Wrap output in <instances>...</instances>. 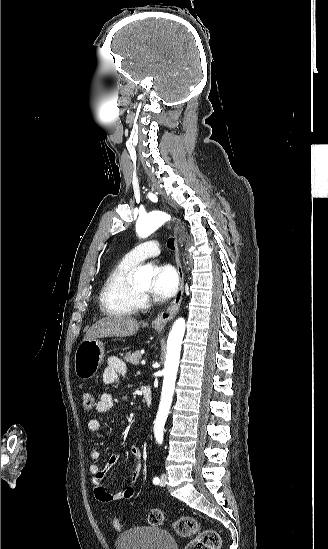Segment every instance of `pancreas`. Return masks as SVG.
Returning <instances> with one entry per match:
<instances>
[{"mask_svg":"<svg viewBox=\"0 0 328 549\" xmlns=\"http://www.w3.org/2000/svg\"><path fill=\"white\" fill-rule=\"evenodd\" d=\"M141 357L142 355L139 351H136V353H126L124 361H127V363H132V365H139Z\"/></svg>","mask_w":328,"mask_h":549,"instance_id":"obj_1","label":"pancreas"}]
</instances>
